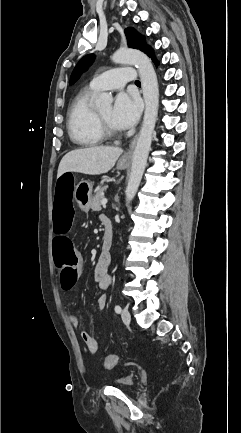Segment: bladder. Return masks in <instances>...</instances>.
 Here are the masks:
<instances>
[{
	"label": "bladder",
	"instance_id": "1",
	"mask_svg": "<svg viewBox=\"0 0 241 433\" xmlns=\"http://www.w3.org/2000/svg\"><path fill=\"white\" fill-rule=\"evenodd\" d=\"M114 383L116 387L129 389L134 386L135 378L133 375H127L117 379Z\"/></svg>",
	"mask_w": 241,
	"mask_h": 433
}]
</instances>
